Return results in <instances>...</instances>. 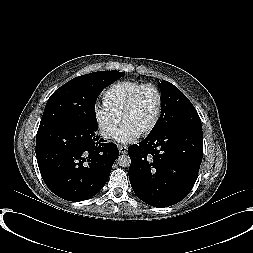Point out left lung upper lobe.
Listing matches in <instances>:
<instances>
[{
	"instance_id": "obj_1",
	"label": "left lung upper lobe",
	"mask_w": 253,
	"mask_h": 253,
	"mask_svg": "<svg viewBox=\"0 0 253 253\" xmlns=\"http://www.w3.org/2000/svg\"><path fill=\"white\" fill-rule=\"evenodd\" d=\"M162 110L158 122L149 135H155L178 128L202 129L200 117L188 98L173 84L162 80Z\"/></svg>"
}]
</instances>
